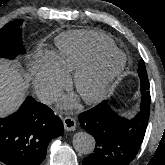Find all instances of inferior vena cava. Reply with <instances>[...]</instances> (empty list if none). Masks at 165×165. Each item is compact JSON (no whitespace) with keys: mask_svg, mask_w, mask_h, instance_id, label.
I'll return each mask as SVG.
<instances>
[{"mask_svg":"<svg viewBox=\"0 0 165 165\" xmlns=\"http://www.w3.org/2000/svg\"><path fill=\"white\" fill-rule=\"evenodd\" d=\"M61 96V89L54 86H44L37 91V97L42 103L50 104Z\"/></svg>","mask_w":165,"mask_h":165,"instance_id":"inferior-vena-cava-1","label":"inferior vena cava"}]
</instances>
